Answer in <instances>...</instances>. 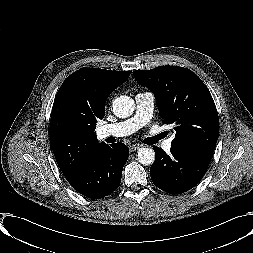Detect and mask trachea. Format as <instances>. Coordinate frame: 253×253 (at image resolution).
I'll return each instance as SVG.
<instances>
[{"label": "trachea", "instance_id": "3493384b", "mask_svg": "<svg viewBox=\"0 0 253 253\" xmlns=\"http://www.w3.org/2000/svg\"><path fill=\"white\" fill-rule=\"evenodd\" d=\"M159 138H160V135L159 136H155L153 138H148V139L145 140V143L146 144H154V143H156L159 140Z\"/></svg>", "mask_w": 253, "mask_h": 253}]
</instances>
